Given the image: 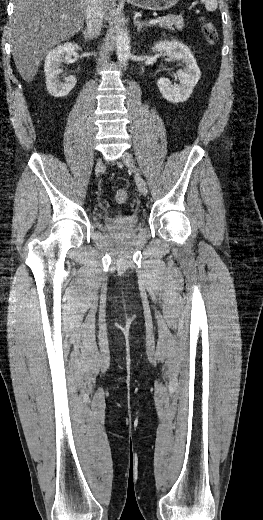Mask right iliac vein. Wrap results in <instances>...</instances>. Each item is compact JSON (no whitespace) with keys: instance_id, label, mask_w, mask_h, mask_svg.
<instances>
[{"instance_id":"63e3f726","label":"right iliac vein","mask_w":263,"mask_h":520,"mask_svg":"<svg viewBox=\"0 0 263 520\" xmlns=\"http://www.w3.org/2000/svg\"><path fill=\"white\" fill-rule=\"evenodd\" d=\"M102 166H103V163H102V160L101 159H98L96 164H95V174L98 176L101 172V169H102Z\"/></svg>"}]
</instances>
